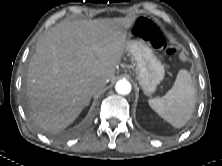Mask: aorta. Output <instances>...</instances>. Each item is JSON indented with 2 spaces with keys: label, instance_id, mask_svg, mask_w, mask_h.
<instances>
[{
  "label": "aorta",
  "instance_id": "1",
  "mask_svg": "<svg viewBox=\"0 0 222 166\" xmlns=\"http://www.w3.org/2000/svg\"><path fill=\"white\" fill-rule=\"evenodd\" d=\"M115 89L119 94L126 95L131 91V84L127 80H119L116 83Z\"/></svg>",
  "mask_w": 222,
  "mask_h": 166
}]
</instances>
